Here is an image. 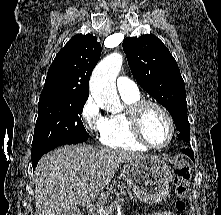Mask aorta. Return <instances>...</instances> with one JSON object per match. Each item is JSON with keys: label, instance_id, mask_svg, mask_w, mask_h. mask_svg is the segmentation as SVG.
Wrapping results in <instances>:
<instances>
[{"label": "aorta", "instance_id": "aorta-1", "mask_svg": "<svg viewBox=\"0 0 221 215\" xmlns=\"http://www.w3.org/2000/svg\"><path fill=\"white\" fill-rule=\"evenodd\" d=\"M122 63V55L112 53L95 67L90 79V92L95 102L111 113L122 109L115 84Z\"/></svg>", "mask_w": 221, "mask_h": 215}]
</instances>
